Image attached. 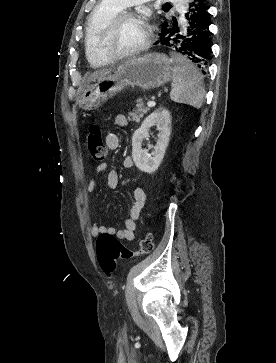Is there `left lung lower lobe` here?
I'll return each instance as SVG.
<instances>
[{"instance_id": "left-lung-lower-lobe-1", "label": "left lung lower lobe", "mask_w": 276, "mask_h": 363, "mask_svg": "<svg viewBox=\"0 0 276 363\" xmlns=\"http://www.w3.org/2000/svg\"><path fill=\"white\" fill-rule=\"evenodd\" d=\"M185 22L162 25L157 44L170 47L185 56L206 74L210 54L207 0H188Z\"/></svg>"}]
</instances>
